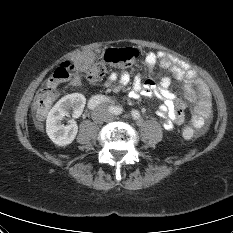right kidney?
Masks as SVG:
<instances>
[{
  "mask_svg": "<svg viewBox=\"0 0 233 233\" xmlns=\"http://www.w3.org/2000/svg\"><path fill=\"white\" fill-rule=\"evenodd\" d=\"M86 104V98L80 93L68 94L61 98L50 110L46 120V132L49 138L58 146L71 144L78 132V126L74 120L69 124H62L65 116H69L72 110L73 117H79Z\"/></svg>",
  "mask_w": 233,
  "mask_h": 233,
  "instance_id": "ca27d5eb",
  "label": "right kidney"
}]
</instances>
